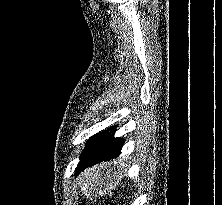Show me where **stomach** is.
Returning a JSON list of instances; mask_svg holds the SVG:
<instances>
[{
    "instance_id": "1",
    "label": "stomach",
    "mask_w": 222,
    "mask_h": 205,
    "mask_svg": "<svg viewBox=\"0 0 222 205\" xmlns=\"http://www.w3.org/2000/svg\"><path fill=\"white\" fill-rule=\"evenodd\" d=\"M121 178L122 172L119 169L109 168L106 171L102 168L94 169L89 180L84 184L83 190L89 196H103L105 193L110 192Z\"/></svg>"
}]
</instances>
